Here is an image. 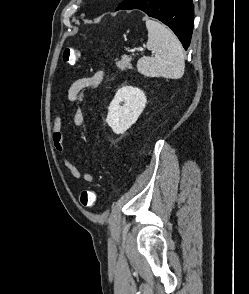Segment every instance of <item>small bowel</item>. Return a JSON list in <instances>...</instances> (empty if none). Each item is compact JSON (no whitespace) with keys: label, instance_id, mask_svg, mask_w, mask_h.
Wrapping results in <instances>:
<instances>
[{"label":"small bowel","instance_id":"small-bowel-1","mask_svg":"<svg viewBox=\"0 0 249 294\" xmlns=\"http://www.w3.org/2000/svg\"><path fill=\"white\" fill-rule=\"evenodd\" d=\"M103 81V72L97 70L93 74L87 77L80 78L73 82L67 91L65 101L56 102L53 109V145L56 151L64 152V132L62 128V111L67 104L77 103L78 107L73 114V122L77 127L84 125V113L81 108V103L84 99V94L87 89H96ZM63 164L70 172L71 176L78 181H85L91 183L94 181V177L89 172H81L68 158H63Z\"/></svg>","mask_w":249,"mask_h":294}]
</instances>
